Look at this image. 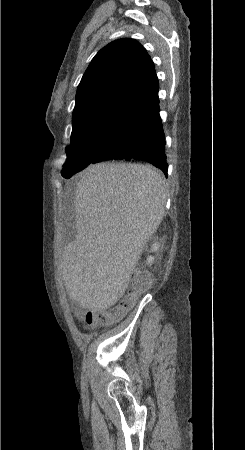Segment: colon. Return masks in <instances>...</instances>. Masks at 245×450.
I'll list each match as a JSON object with an SVG mask.
<instances>
[{
    "label": "colon",
    "mask_w": 245,
    "mask_h": 450,
    "mask_svg": "<svg viewBox=\"0 0 245 450\" xmlns=\"http://www.w3.org/2000/svg\"><path fill=\"white\" fill-rule=\"evenodd\" d=\"M148 288L147 280L141 272H135L127 284V292L119 303L108 310L96 311L88 325L109 324L119 320L128 310H130L137 298Z\"/></svg>",
    "instance_id": "obj_1"
}]
</instances>
